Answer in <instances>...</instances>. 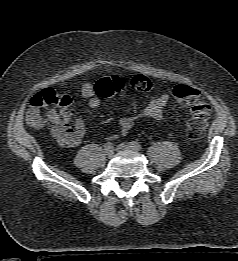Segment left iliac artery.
I'll list each match as a JSON object with an SVG mask.
<instances>
[{
    "label": "left iliac artery",
    "mask_w": 238,
    "mask_h": 261,
    "mask_svg": "<svg viewBox=\"0 0 238 261\" xmlns=\"http://www.w3.org/2000/svg\"><path fill=\"white\" fill-rule=\"evenodd\" d=\"M131 145L134 147L135 150L140 151L142 149L141 144H139L138 142L132 141Z\"/></svg>",
    "instance_id": "1"
}]
</instances>
